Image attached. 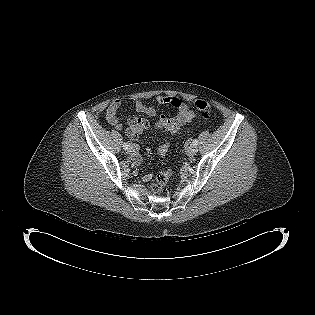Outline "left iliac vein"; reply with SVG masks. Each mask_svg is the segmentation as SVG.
<instances>
[{
    "label": "left iliac vein",
    "mask_w": 315,
    "mask_h": 315,
    "mask_svg": "<svg viewBox=\"0 0 315 315\" xmlns=\"http://www.w3.org/2000/svg\"><path fill=\"white\" fill-rule=\"evenodd\" d=\"M197 151H198L197 146H196V145H193V144H191V145L188 147V149H187V153H188V155H190V156L195 155V154L197 153Z\"/></svg>",
    "instance_id": "1"
}]
</instances>
